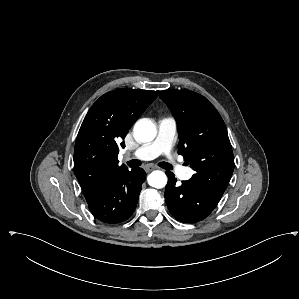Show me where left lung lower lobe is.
Instances as JSON below:
<instances>
[{
  "label": "left lung lower lobe",
  "mask_w": 299,
  "mask_h": 299,
  "mask_svg": "<svg viewBox=\"0 0 299 299\" xmlns=\"http://www.w3.org/2000/svg\"><path fill=\"white\" fill-rule=\"evenodd\" d=\"M168 183L165 200L174 218L185 223H196L205 219L219 203L222 195L191 179L177 185L172 172H166Z\"/></svg>",
  "instance_id": "1"
}]
</instances>
